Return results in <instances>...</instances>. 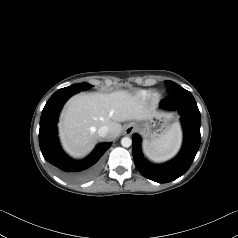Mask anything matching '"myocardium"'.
<instances>
[{"instance_id": "obj_1", "label": "myocardium", "mask_w": 238, "mask_h": 238, "mask_svg": "<svg viewBox=\"0 0 238 238\" xmlns=\"http://www.w3.org/2000/svg\"><path fill=\"white\" fill-rule=\"evenodd\" d=\"M160 98H161V94L159 92H155V93L152 94V99L154 101H159Z\"/></svg>"}]
</instances>
